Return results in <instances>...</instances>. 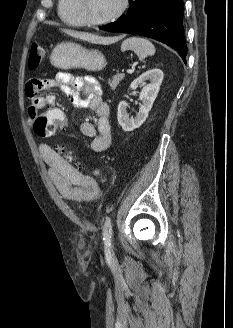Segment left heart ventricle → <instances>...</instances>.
Masks as SVG:
<instances>
[{
	"instance_id": "left-heart-ventricle-1",
	"label": "left heart ventricle",
	"mask_w": 233,
	"mask_h": 328,
	"mask_svg": "<svg viewBox=\"0 0 233 328\" xmlns=\"http://www.w3.org/2000/svg\"><path fill=\"white\" fill-rule=\"evenodd\" d=\"M121 0H84L86 14L95 20L104 19L113 14Z\"/></svg>"
}]
</instances>
